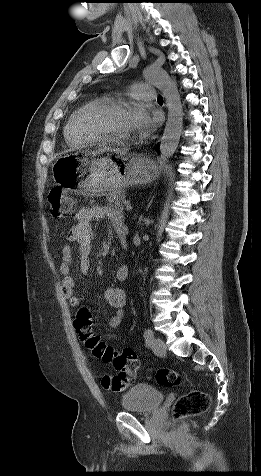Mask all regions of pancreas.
I'll return each instance as SVG.
<instances>
[{
  "label": "pancreas",
  "mask_w": 261,
  "mask_h": 476,
  "mask_svg": "<svg viewBox=\"0 0 261 476\" xmlns=\"http://www.w3.org/2000/svg\"><path fill=\"white\" fill-rule=\"evenodd\" d=\"M109 203L115 208L122 210L126 202L125 197L121 194L111 195L108 197Z\"/></svg>",
  "instance_id": "1"
}]
</instances>
